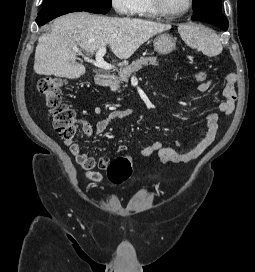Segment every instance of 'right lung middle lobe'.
Returning a JSON list of instances; mask_svg holds the SVG:
<instances>
[{"instance_id": "right-lung-middle-lobe-1", "label": "right lung middle lobe", "mask_w": 255, "mask_h": 272, "mask_svg": "<svg viewBox=\"0 0 255 272\" xmlns=\"http://www.w3.org/2000/svg\"><path fill=\"white\" fill-rule=\"evenodd\" d=\"M77 9L96 14H106L111 0H43L42 9Z\"/></svg>"}]
</instances>
